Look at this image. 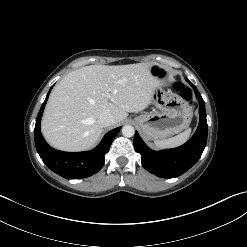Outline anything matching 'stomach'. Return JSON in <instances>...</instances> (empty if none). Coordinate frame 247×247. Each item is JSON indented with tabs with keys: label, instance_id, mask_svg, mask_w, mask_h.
Instances as JSON below:
<instances>
[{
	"label": "stomach",
	"instance_id": "obj_1",
	"mask_svg": "<svg viewBox=\"0 0 247 247\" xmlns=\"http://www.w3.org/2000/svg\"><path fill=\"white\" fill-rule=\"evenodd\" d=\"M151 103L155 110L135 118L136 124L148 139H165L189 126L192 109L179 95L159 86L153 91Z\"/></svg>",
	"mask_w": 247,
	"mask_h": 247
}]
</instances>
